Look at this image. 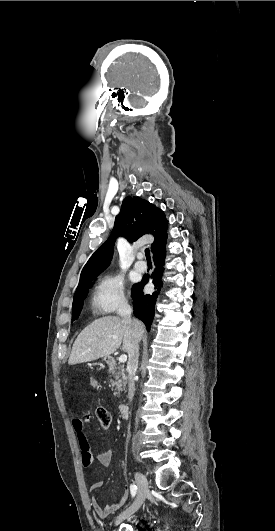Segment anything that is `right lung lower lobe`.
<instances>
[{
    "label": "right lung lower lobe",
    "instance_id": "obj_1",
    "mask_svg": "<svg viewBox=\"0 0 275 531\" xmlns=\"http://www.w3.org/2000/svg\"><path fill=\"white\" fill-rule=\"evenodd\" d=\"M165 245L166 241H164L160 246H158L155 250L152 251L155 270L151 275V278L158 292L160 291V287L162 286L164 259L166 255ZM148 281L149 277H144L140 283L134 285L132 288L131 296L133 298L134 315L141 321H143L147 329L150 330L152 320L154 318V307L158 293L154 292L152 295H145L143 293V288L148 283Z\"/></svg>",
    "mask_w": 275,
    "mask_h": 531
}]
</instances>
